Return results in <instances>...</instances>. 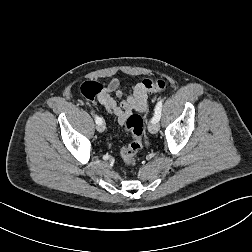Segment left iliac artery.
<instances>
[{"label": "left iliac artery", "mask_w": 252, "mask_h": 252, "mask_svg": "<svg viewBox=\"0 0 252 252\" xmlns=\"http://www.w3.org/2000/svg\"><path fill=\"white\" fill-rule=\"evenodd\" d=\"M161 109H162V101H158L155 109H154V117L152 118V121L158 122L161 118Z\"/></svg>", "instance_id": "obj_1"}]
</instances>
